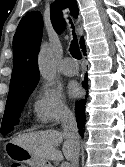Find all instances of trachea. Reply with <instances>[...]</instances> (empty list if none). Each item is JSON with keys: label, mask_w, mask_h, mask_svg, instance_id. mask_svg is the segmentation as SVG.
I'll use <instances>...</instances> for the list:
<instances>
[{"label": "trachea", "mask_w": 125, "mask_h": 167, "mask_svg": "<svg viewBox=\"0 0 125 167\" xmlns=\"http://www.w3.org/2000/svg\"><path fill=\"white\" fill-rule=\"evenodd\" d=\"M69 51H70V54L75 59H81L82 58L81 52L79 50L78 39H77V36H76L74 30H73V40L71 41V45H70Z\"/></svg>", "instance_id": "trachea-1"}]
</instances>
